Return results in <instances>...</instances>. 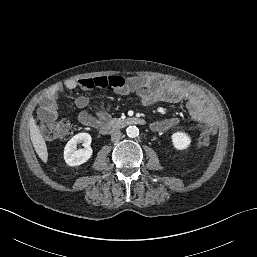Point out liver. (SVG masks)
Masks as SVG:
<instances>
[{"instance_id": "1", "label": "liver", "mask_w": 257, "mask_h": 257, "mask_svg": "<svg viewBox=\"0 0 257 257\" xmlns=\"http://www.w3.org/2000/svg\"><path fill=\"white\" fill-rule=\"evenodd\" d=\"M29 129H30V138L33 144V147L38 154L39 158L46 163L48 160V151L46 142L40 132L39 127L36 124V121L33 117L30 118L29 121Z\"/></svg>"}]
</instances>
